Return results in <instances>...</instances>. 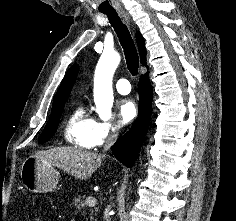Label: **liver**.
Masks as SVG:
<instances>
[{
  "instance_id": "obj_1",
  "label": "liver",
  "mask_w": 236,
  "mask_h": 221,
  "mask_svg": "<svg viewBox=\"0 0 236 221\" xmlns=\"http://www.w3.org/2000/svg\"><path fill=\"white\" fill-rule=\"evenodd\" d=\"M34 156L81 180L89 178L104 158L94 152L66 146L39 151Z\"/></svg>"
}]
</instances>
